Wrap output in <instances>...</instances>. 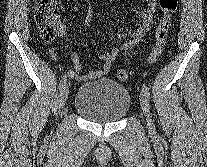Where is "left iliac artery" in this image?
I'll use <instances>...</instances> for the list:
<instances>
[{
	"instance_id": "44dca946",
	"label": "left iliac artery",
	"mask_w": 207,
	"mask_h": 167,
	"mask_svg": "<svg viewBox=\"0 0 207 167\" xmlns=\"http://www.w3.org/2000/svg\"><path fill=\"white\" fill-rule=\"evenodd\" d=\"M142 92L146 96L147 99H150V92L148 87L145 85V83L142 84Z\"/></svg>"
}]
</instances>
